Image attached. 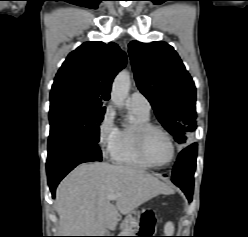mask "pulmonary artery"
Returning <instances> with one entry per match:
<instances>
[{
    "instance_id": "pulmonary-artery-1",
    "label": "pulmonary artery",
    "mask_w": 248,
    "mask_h": 237,
    "mask_svg": "<svg viewBox=\"0 0 248 237\" xmlns=\"http://www.w3.org/2000/svg\"><path fill=\"white\" fill-rule=\"evenodd\" d=\"M128 105L147 113H149L151 110L149 100L139 91H135L129 96Z\"/></svg>"
}]
</instances>
